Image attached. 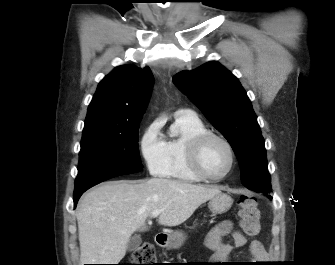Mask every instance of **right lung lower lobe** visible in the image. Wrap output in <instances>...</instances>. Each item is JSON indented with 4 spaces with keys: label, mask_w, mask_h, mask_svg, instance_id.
Listing matches in <instances>:
<instances>
[{
    "label": "right lung lower lobe",
    "mask_w": 335,
    "mask_h": 265,
    "mask_svg": "<svg viewBox=\"0 0 335 265\" xmlns=\"http://www.w3.org/2000/svg\"><path fill=\"white\" fill-rule=\"evenodd\" d=\"M95 185H96V184H95ZM92 186H94V185H92ZM92 186H88V187L82 188V189H80V190L74 192V206H75V207H76L77 202H78L79 198L81 197V195H82L87 189L91 188Z\"/></svg>",
    "instance_id": "right-lung-lower-lobe-1"
}]
</instances>
